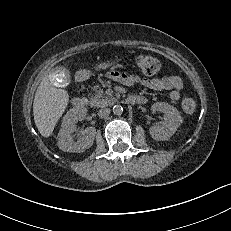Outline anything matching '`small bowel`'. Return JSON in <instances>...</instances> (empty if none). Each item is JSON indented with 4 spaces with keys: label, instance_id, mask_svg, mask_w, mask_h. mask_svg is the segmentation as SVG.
I'll list each match as a JSON object with an SVG mask.
<instances>
[{
    "label": "small bowel",
    "instance_id": "c3829d8e",
    "mask_svg": "<svg viewBox=\"0 0 231 231\" xmlns=\"http://www.w3.org/2000/svg\"><path fill=\"white\" fill-rule=\"evenodd\" d=\"M107 77L125 86L140 84L146 88L162 91H170L169 97L172 101L179 100L183 89V81L175 75H164L153 78H140L135 75H128L118 71H109Z\"/></svg>",
    "mask_w": 231,
    "mask_h": 231
}]
</instances>
